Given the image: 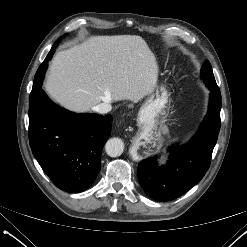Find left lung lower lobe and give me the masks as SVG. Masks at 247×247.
Returning <instances> with one entry per match:
<instances>
[{"label": "left lung lower lobe", "instance_id": "obj_1", "mask_svg": "<svg viewBox=\"0 0 247 247\" xmlns=\"http://www.w3.org/2000/svg\"><path fill=\"white\" fill-rule=\"evenodd\" d=\"M210 103L199 130L189 144L171 148L165 166L157 165L156 156L138 165V179L145 193L157 201H170L196 185L207 172L220 129V90L210 89Z\"/></svg>", "mask_w": 247, "mask_h": 247}]
</instances>
